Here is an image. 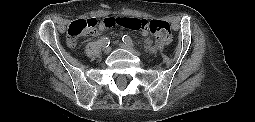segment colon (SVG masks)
I'll return each instance as SVG.
<instances>
[{
    "label": "colon",
    "instance_id": "obj_1",
    "mask_svg": "<svg viewBox=\"0 0 255 122\" xmlns=\"http://www.w3.org/2000/svg\"><path fill=\"white\" fill-rule=\"evenodd\" d=\"M106 24L109 27L119 26L134 31H147L162 44H168L171 41L170 25L163 20H147L120 16L106 18ZM96 27L97 20L94 18L73 21L67 29L69 43L74 45L80 36L94 33Z\"/></svg>",
    "mask_w": 255,
    "mask_h": 122
}]
</instances>
